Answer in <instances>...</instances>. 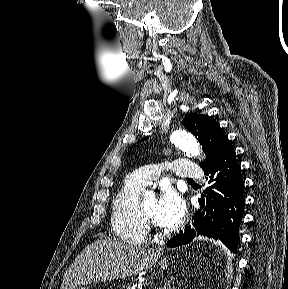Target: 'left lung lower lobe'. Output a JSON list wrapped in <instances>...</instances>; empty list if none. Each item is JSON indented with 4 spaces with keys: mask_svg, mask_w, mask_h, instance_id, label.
Listing matches in <instances>:
<instances>
[{
    "mask_svg": "<svg viewBox=\"0 0 288 289\" xmlns=\"http://www.w3.org/2000/svg\"><path fill=\"white\" fill-rule=\"evenodd\" d=\"M207 185L199 198L200 208L194 214L195 229L187 227L171 239L167 246L175 248L189 243L199 234L220 240L232 252L239 244L238 228L243 217L244 182L236 153L227 138L211 162L202 167Z\"/></svg>",
    "mask_w": 288,
    "mask_h": 289,
    "instance_id": "obj_1",
    "label": "left lung lower lobe"
}]
</instances>
